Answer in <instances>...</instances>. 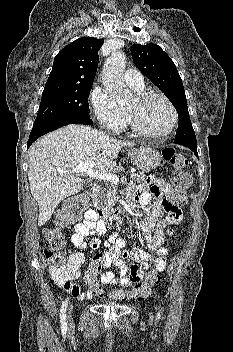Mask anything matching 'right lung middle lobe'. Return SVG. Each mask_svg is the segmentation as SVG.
Segmentation results:
<instances>
[{
	"label": "right lung middle lobe",
	"instance_id": "1",
	"mask_svg": "<svg viewBox=\"0 0 233 352\" xmlns=\"http://www.w3.org/2000/svg\"><path fill=\"white\" fill-rule=\"evenodd\" d=\"M92 85L44 88L34 125L69 118H90L88 96Z\"/></svg>",
	"mask_w": 233,
	"mask_h": 352
}]
</instances>
